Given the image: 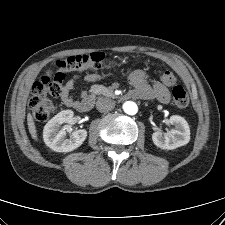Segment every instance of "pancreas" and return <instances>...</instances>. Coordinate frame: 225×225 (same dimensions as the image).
Returning <instances> with one entry per match:
<instances>
[{
    "label": "pancreas",
    "instance_id": "cf45deb5",
    "mask_svg": "<svg viewBox=\"0 0 225 225\" xmlns=\"http://www.w3.org/2000/svg\"><path fill=\"white\" fill-rule=\"evenodd\" d=\"M90 92L94 95H111L112 91L103 85H93Z\"/></svg>",
    "mask_w": 225,
    "mask_h": 225
}]
</instances>
